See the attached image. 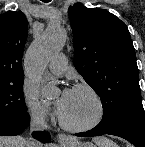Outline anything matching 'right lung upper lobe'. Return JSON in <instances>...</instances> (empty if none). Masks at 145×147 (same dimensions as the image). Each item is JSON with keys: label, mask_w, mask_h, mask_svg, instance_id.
I'll return each instance as SVG.
<instances>
[{"label": "right lung upper lobe", "mask_w": 145, "mask_h": 147, "mask_svg": "<svg viewBox=\"0 0 145 147\" xmlns=\"http://www.w3.org/2000/svg\"><path fill=\"white\" fill-rule=\"evenodd\" d=\"M27 33V20L21 11L0 15V83L24 76L21 60Z\"/></svg>", "instance_id": "obj_1"}]
</instances>
